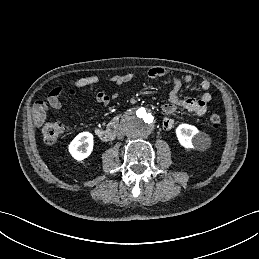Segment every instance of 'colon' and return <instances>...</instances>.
<instances>
[{
  "label": "colon",
  "mask_w": 259,
  "mask_h": 259,
  "mask_svg": "<svg viewBox=\"0 0 259 259\" xmlns=\"http://www.w3.org/2000/svg\"><path fill=\"white\" fill-rule=\"evenodd\" d=\"M209 124L213 128L219 127L221 124V117L216 113H212L209 116ZM64 131L65 126L59 121L46 122L41 128L43 140L48 145L57 143L62 137Z\"/></svg>",
  "instance_id": "1"
}]
</instances>
